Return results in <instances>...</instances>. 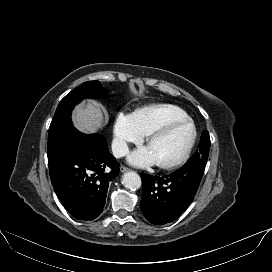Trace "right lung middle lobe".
<instances>
[{
  "instance_id": "1",
  "label": "right lung middle lobe",
  "mask_w": 272,
  "mask_h": 272,
  "mask_svg": "<svg viewBox=\"0 0 272 272\" xmlns=\"http://www.w3.org/2000/svg\"><path fill=\"white\" fill-rule=\"evenodd\" d=\"M104 88L99 81H88L68 93L59 103L48 133L47 155L56 151L74 130L71 112L84 98L101 96Z\"/></svg>"
}]
</instances>
